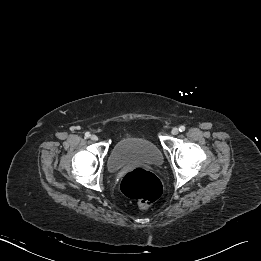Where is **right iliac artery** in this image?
Returning <instances> with one entry per match:
<instances>
[{"label":"right iliac artery","mask_w":261,"mask_h":261,"mask_svg":"<svg viewBox=\"0 0 261 261\" xmlns=\"http://www.w3.org/2000/svg\"><path fill=\"white\" fill-rule=\"evenodd\" d=\"M90 137V133L89 132H86L85 133V138H89Z\"/></svg>","instance_id":"1"}]
</instances>
